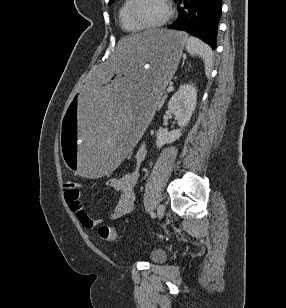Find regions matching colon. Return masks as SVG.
I'll return each mask as SVG.
<instances>
[{"instance_id": "5ec220e1", "label": "colon", "mask_w": 286, "mask_h": 308, "mask_svg": "<svg viewBox=\"0 0 286 308\" xmlns=\"http://www.w3.org/2000/svg\"><path fill=\"white\" fill-rule=\"evenodd\" d=\"M79 183L74 180L67 181L65 183V189L68 191H77ZM99 235L102 240L106 242H115L118 239L117 231L109 226H102L99 228Z\"/></svg>"}]
</instances>
